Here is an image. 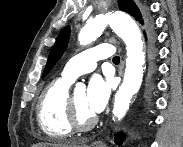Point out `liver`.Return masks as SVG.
<instances>
[{
	"instance_id": "liver-1",
	"label": "liver",
	"mask_w": 183,
	"mask_h": 147,
	"mask_svg": "<svg viewBox=\"0 0 183 147\" xmlns=\"http://www.w3.org/2000/svg\"><path fill=\"white\" fill-rule=\"evenodd\" d=\"M32 147H86V145L79 141H67L62 143H38L34 144Z\"/></svg>"
}]
</instances>
